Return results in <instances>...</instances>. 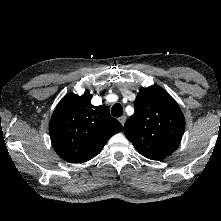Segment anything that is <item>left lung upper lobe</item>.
I'll return each mask as SVG.
<instances>
[{"label": "left lung upper lobe", "mask_w": 221, "mask_h": 221, "mask_svg": "<svg viewBox=\"0 0 221 221\" xmlns=\"http://www.w3.org/2000/svg\"><path fill=\"white\" fill-rule=\"evenodd\" d=\"M135 112L124 133L136 150L151 160H160L178 147L185 128L179 105L161 87L143 88L134 102Z\"/></svg>", "instance_id": "5c2ea615"}]
</instances>
